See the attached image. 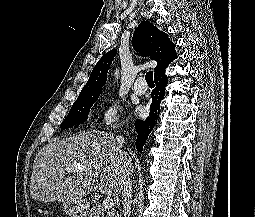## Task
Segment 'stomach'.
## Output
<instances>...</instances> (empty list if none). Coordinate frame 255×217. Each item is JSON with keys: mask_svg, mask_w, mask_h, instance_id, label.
Returning <instances> with one entry per match:
<instances>
[{"mask_svg": "<svg viewBox=\"0 0 255 217\" xmlns=\"http://www.w3.org/2000/svg\"><path fill=\"white\" fill-rule=\"evenodd\" d=\"M89 205L86 200L74 201L63 204V211L70 217H84Z\"/></svg>", "mask_w": 255, "mask_h": 217, "instance_id": "obj_1", "label": "stomach"}]
</instances>
